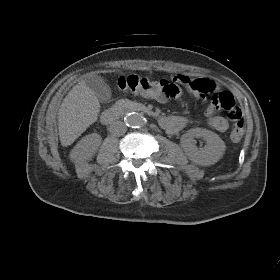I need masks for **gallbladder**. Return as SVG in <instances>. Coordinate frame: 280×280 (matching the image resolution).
<instances>
[{"label":"gallbladder","mask_w":280,"mask_h":280,"mask_svg":"<svg viewBox=\"0 0 280 280\" xmlns=\"http://www.w3.org/2000/svg\"><path fill=\"white\" fill-rule=\"evenodd\" d=\"M85 82L94 91L99 101L105 103L111 99V89L102 77L92 76L87 78Z\"/></svg>","instance_id":"obj_1"}]
</instances>
